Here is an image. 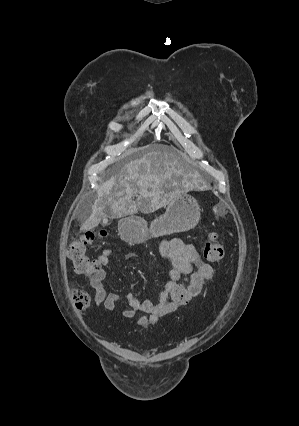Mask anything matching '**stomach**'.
<instances>
[{"label":"stomach","instance_id":"obj_1","mask_svg":"<svg viewBox=\"0 0 299 426\" xmlns=\"http://www.w3.org/2000/svg\"><path fill=\"white\" fill-rule=\"evenodd\" d=\"M200 220V207L192 196L178 194L167 203L166 212L155 218L148 227L139 217L121 220L122 236L131 243H140L150 237H159L194 228Z\"/></svg>","mask_w":299,"mask_h":426}]
</instances>
